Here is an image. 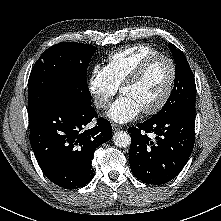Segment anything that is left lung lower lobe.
Wrapping results in <instances>:
<instances>
[{"label":"left lung lower lobe","instance_id":"left-lung-lower-lobe-1","mask_svg":"<svg viewBox=\"0 0 221 221\" xmlns=\"http://www.w3.org/2000/svg\"><path fill=\"white\" fill-rule=\"evenodd\" d=\"M195 112L182 110L163 119H148L130 127V167L139 180L167 183L185 166L194 147ZM149 133L156 134L152 141Z\"/></svg>","mask_w":221,"mask_h":221}]
</instances>
